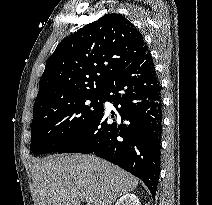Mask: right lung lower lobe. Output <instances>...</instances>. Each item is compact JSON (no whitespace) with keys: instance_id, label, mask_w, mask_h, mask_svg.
<instances>
[{"instance_id":"98d812e1","label":"right lung lower lobe","mask_w":212,"mask_h":205,"mask_svg":"<svg viewBox=\"0 0 212 205\" xmlns=\"http://www.w3.org/2000/svg\"><path fill=\"white\" fill-rule=\"evenodd\" d=\"M120 120L105 111L59 149L58 153H94L140 178L155 197L160 173L161 86L150 52L115 76L102 93Z\"/></svg>"}]
</instances>
